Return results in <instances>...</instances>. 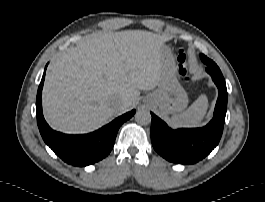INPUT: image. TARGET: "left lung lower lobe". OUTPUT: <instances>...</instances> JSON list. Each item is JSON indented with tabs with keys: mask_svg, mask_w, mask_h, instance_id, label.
Masks as SVG:
<instances>
[{
	"mask_svg": "<svg viewBox=\"0 0 265 202\" xmlns=\"http://www.w3.org/2000/svg\"><path fill=\"white\" fill-rule=\"evenodd\" d=\"M208 66L206 71L212 76L219 90L214 117L203 128L170 129L160 118L152 115L151 141L154 149L173 163L193 164L207 156L219 143L227 109V89L218 66L209 58L201 55Z\"/></svg>",
	"mask_w": 265,
	"mask_h": 202,
	"instance_id": "left-lung-lower-lobe-1",
	"label": "left lung lower lobe"
}]
</instances>
